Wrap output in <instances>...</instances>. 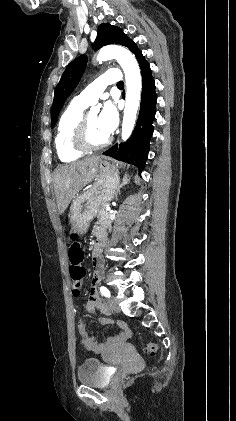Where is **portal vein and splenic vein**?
I'll return each mask as SVG.
<instances>
[{
    "label": "portal vein and splenic vein",
    "instance_id": "portal-vein-and-splenic-vein-1",
    "mask_svg": "<svg viewBox=\"0 0 236 421\" xmlns=\"http://www.w3.org/2000/svg\"><path fill=\"white\" fill-rule=\"evenodd\" d=\"M106 210L107 211H110L111 210V207L109 205H106Z\"/></svg>",
    "mask_w": 236,
    "mask_h": 421
}]
</instances>
